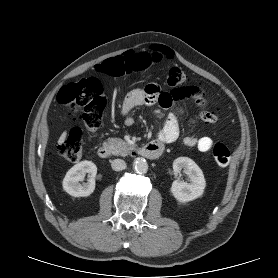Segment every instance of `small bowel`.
Here are the masks:
<instances>
[{
    "instance_id": "c3829d8e",
    "label": "small bowel",
    "mask_w": 278,
    "mask_h": 278,
    "mask_svg": "<svg viewBox=\"0 0 278 278\" xmlns=\"http://www.w3.org/2000/svg\"><path fill=\"white\" fill-rule=\"evenodd\" d=\"M177 99L179 97L176 93L162 92L159 85L151 83L144 89H135L127 94L121 106V115L125 125L130 126L134 123V118L130 113L135 107L143 105L153 106L157 103L167 107ZM196 118L207 123H215L218 120V114L214 111L202 110L196 115ZM179 120V111H174L167 115L164 125L158 133L159 143H172L177 140L180 133ZM183 142L186 146L195 148L200 152L210 151L214 144L213 139L208 136H186Z\"/></svg>"
}]
</instances>
